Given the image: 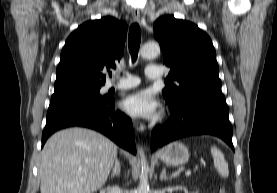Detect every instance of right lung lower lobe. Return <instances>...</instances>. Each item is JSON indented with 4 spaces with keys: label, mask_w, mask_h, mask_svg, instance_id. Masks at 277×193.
Listing matches in <instances>:
<instances>
[{
    "label": "right lung lower lobe",
    "mask_w": 277,
    "mask_h": 193,
    "mask_svg": "<svg viewBox=\"0 0 277 193\" xmlns=\"http://www.w3.org/2000/svg\"><path fill=\"white\" fill-rule=\"evenodd\" d=\"M113 96L69 91L54 92L42 134V146L54 132L72 126L95 129L122 148L136 154L131 120L115 110Z\"/></svg>",
    "instance_id": "right-lung-lower-lobe-1"
}]
</instances>
